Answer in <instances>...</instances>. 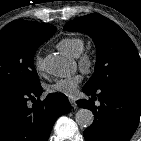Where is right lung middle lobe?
<instances>
[{"label": "right lung middle lobe", "mask_w": 141, "mask_h": 141, "mask_svg": "<svg viewBox=\"0 0 141 141\" xmlns=\"http://www.w3.org/2000/svg\"><path fill=\"white\" fill-rule=\"evenodd\" d=\"M50 37L18 22H11L0 31V88L29 89L40 85L33 58Z\"/></svg>", "instance_id": "1"}]
</instances>
